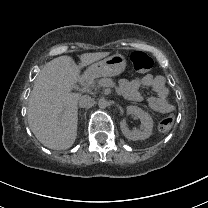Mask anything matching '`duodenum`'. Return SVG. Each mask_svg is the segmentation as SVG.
Masks as SVG:
<instances>
[{
  "label": "duodenum",
  "mask_w": 208,
  "mask_h": 208,
  "mask_svg": "<svg viewBox=\"0 0 208 208\" xmlns=\"http://www.w3.org/2000/svg\"><path fill=\"white\" fill-rule=\"evenodd\" d=\"M86 78L85 77H81L79 79V84H83L85 82Z\"/></svg>",
  "instance_id": "410a0bca"
}]
</instances>
